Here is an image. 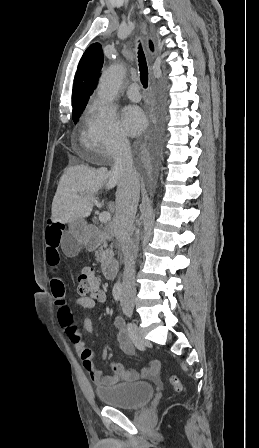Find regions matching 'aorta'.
Listing matches in <instances>:
<instances>
[{
  "mask_svg": "<svg viewBox=\"0 0 259 448\" xmlns=\"http://www.w3.org/2000/svg\"><path fill=\"white\" fill-rule=\"evenodd\" d=\"M124 68L120 64L110 66L99 79L98 96L105 103H112L120 88Z\"/></svg>",
  "mask_w": 259,
  "mask_h": 448,
  "instance_id": "aorta-1",
  "label": "aorta"
}]
</instances>
